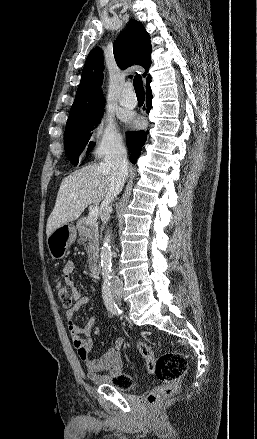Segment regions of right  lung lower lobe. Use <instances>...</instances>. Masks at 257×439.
Here are the masks:
<instances>
[{"label":"right lung lower lobe","instance_id":"1","mask_svg":"<svg viewBox=\"0 0 257 439\" xmlns=\"http://www.w3.org/2000/svg\"><path fill=\"white\" fill-rule=\"evenodd\" d=\"M150 82H151V78L148 79L146 81V94H147V113H149V111L151 110V106H152V94H151V89H150ZM127 146L129 151L131 152L130 155V161L135 164L138 157L141 154V150L143 145L145 144L146 140H147V132L141 130L138 132H128L127 133Z\"/></svg>","mask_w":257,"mask_h":439}]
</instances>
